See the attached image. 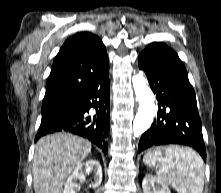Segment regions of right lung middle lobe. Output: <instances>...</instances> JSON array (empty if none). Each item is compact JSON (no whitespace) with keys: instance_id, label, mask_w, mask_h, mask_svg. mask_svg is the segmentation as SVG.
<instances>
[{"instance_id":"obj_1","label":"right lung middle lobe","mask_w":221,"mask_h":193,"mask_svg":"<svg viewBox=\"0 0 221 193\" xmlns=\"http://www.w3.org/2000/svg\"><path fill=\"white\" fill-rule=\"evenodd\" d=\"M73 99H61L43 102L41 124L62 117L72 109Z\"/></svg>"}]
</instances>
